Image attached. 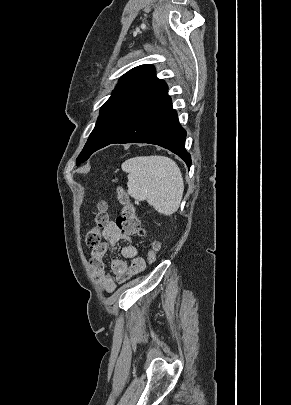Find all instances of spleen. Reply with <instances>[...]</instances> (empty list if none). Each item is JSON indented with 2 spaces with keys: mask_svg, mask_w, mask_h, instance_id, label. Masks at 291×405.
Here are the masks:
<instances>
[{
  "mask_svg": "<svg viewBox=\"0 0 291 405\" xmlns=\"http://www.w3.org/2000/svg\"><path fill=\"white\" fill-rule=\"evenodd\" d=\"M128 173V194L146 200L160 214L175 213L182 200L184 181L180 168L166 156H138L122 163Z\"/></svg>",
  "mask_w": 291,
  "mask_h": 405,
  "instance_id": "3e777b00",
  "label": "spleen"
}]
</instances>
